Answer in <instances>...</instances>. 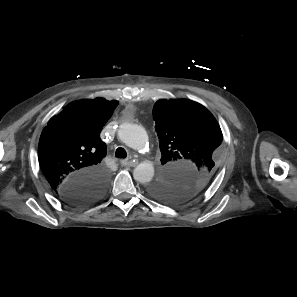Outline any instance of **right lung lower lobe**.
Masks as SVG:
<instances>
[{"instance_id": "obj_1", "label": "right lung lower lobe", "mask_w": 297, "mask_h": 297, "mask_svg": "<svg viewBox=\"0 0 297 297\" xmlns=\"http://www.w3.org/2000/svg\"><path fill=\"white\" fill-rule=\"evenodd\" d=\"M109 183L106 170L82 172L74 176L59 192V197L74 206H85L99 200Z\"/></svg>"}]
</instances>
